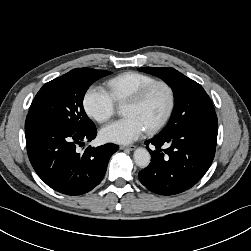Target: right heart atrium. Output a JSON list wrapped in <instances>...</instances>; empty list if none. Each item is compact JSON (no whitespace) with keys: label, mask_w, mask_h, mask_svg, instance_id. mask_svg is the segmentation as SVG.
I'll return each mask as SVG.
<instances>
[{"label":"right heart atrium","mask_w":251,"mask_h":251,"mask_svg":"<svg viewBox=\"0 0 251 251\" xmlns=\"http://www.w3.org/2000/svg\"><path fill=\"white\" fill-rule=\"evenodd\" d=\"M86 114L98 123L108 121L115 113L116 102L111 94L100 85H91L83 96Z\"/></svg>","instance_id":"right-heart-atrium-1"}]
</instances>
